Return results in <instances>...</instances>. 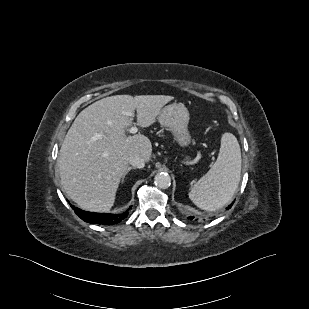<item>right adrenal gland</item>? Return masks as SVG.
I'll return each instance as SVG.
<instances>
[{
  "label": "right adrenal gland",
  "instance_id": "right-adrenal-gland-1",
  "mask_svg": "<svg viewBox=\"0 0 309 309\" xmlns=\"http://www.w3.org/2000/svg\"><path fill=\"white\" fill-rule=\"evenodd\" d=\"M132 169H135V167H128V168H127L126 172L124 173V175H123V177H122L121 182L124 181L125 176H126V175L129 173V171H131Z\"/></svg>",
  "mask_w": 309,
  "mask_h": 309
}]
</instances>
